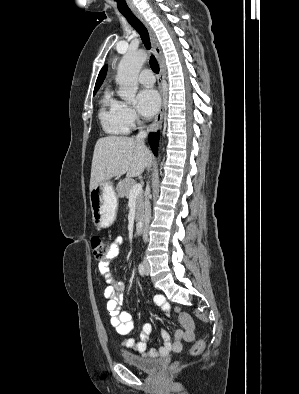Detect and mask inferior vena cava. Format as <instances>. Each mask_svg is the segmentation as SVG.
I'll return each instance as SVG.
<instances>
[{"label": "inferior vena cava", "mask_w": 299, "mask_h": 394, "mask_svg": "<svg viewBox=\"0 0 299 394\" xmlns=\"http://www.w3.org/2000/svg\"><path fill=\"white\" fill-rule=\"evenodd\" d=\"M146 136H147V134L145 131H140L138 133V135L136 136V139L138 141L144 143V139L146 138ZM144 208H145V211H144L143 240H144V242H146L148 240V227H149L150 218H151V206H150V202H149L148 198L145 199ZM144 263H147L146 258H144Z\"/></svg>", "instance_id": "602c4592"}]
</instances>
